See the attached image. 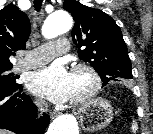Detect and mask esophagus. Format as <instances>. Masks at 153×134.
<instances>
[{
	"mask_svg": "<svg viewBox=\"0 0 153 134\" xmlns=\"http://www.w3.org/2000/svg\"><path fill=\"white\" fill-rule=\"evenodd\" d=\"M55 115H56L55 113H52V114H51L52 117H54Z\"/></svg>",
	"mask_w": 153,
	"mask_h": 134,
	"instance_id": "esophagus-1",
	"label": "esophagus"
}]
</instances>
